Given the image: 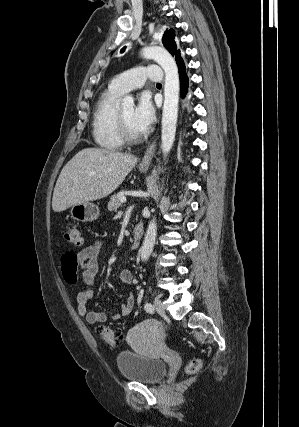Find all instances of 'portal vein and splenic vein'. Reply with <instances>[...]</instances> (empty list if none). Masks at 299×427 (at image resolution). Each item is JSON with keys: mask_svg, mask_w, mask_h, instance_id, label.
<instances>
[{"mask_svg": "<svg viewBox=\"0 0 299 427\" xmlns=\"http://www.w3.org/2000/svg\"><path fill=\"white\" fill-rule=\"evenodd\" d=\"M120 201H121L122 203H125V202H126V198H125V197H121V198H120Z\"/></svg>", "mask_w": 299, "mask_h": 427, "instance_id": "obj_1", "label": "portal vein and splenic vein"}]
</instances>
